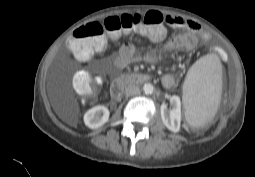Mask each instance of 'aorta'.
<instances>
[{
	"instance_id": "762f6f07",
	"label": "aorta",
	"mask_w": 255,
	"mask_h": 177,
	"mask_svg": "<svg viewBox=\"0 0 255 177\" xmlns=\"http://www.w3.org/2000/svg\"><path fill=\"white\" fill-rule=\"evenodd\" d=\"M154 91V86L151 83H146L143 86V92L145 94H152Z\"/></svg>"
}]
</instances>
